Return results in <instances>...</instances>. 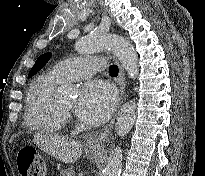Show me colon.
Listing matches in <instances>:
<instances>
[{
  "label": "colon",
  "instance_id": "1",
  "mask_svg": "<svg viewBox=\"0 0 205 176\" xmlns=\"http://www.w3.org/2000/svg\"><path fill=\"white\" fill-rule=\"evenodd\" d=\"M44 159L33 151H21L18 157V169L21 176H46Z\"/></svg>",
  "mask_w": 205,
  "mask_h": 176
}]
</instances>
